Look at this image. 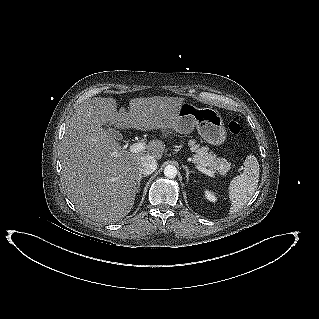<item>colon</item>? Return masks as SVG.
Here are the masks:
<instances>
[{"mask_svg": "<svg viewBox=\"0 0 319 319\" xmlns=\"http://www.w3.org/2000/svg\"><path fill=\"white\" fill-rule=\"evenodd\" d=\"M228 129L232 134H239L242 129V123L240 120H233L229 122Z\"/></svg>", "mask_w": 319, "mask_h": 319, "instance_id": "1", "label": "colon"}]
</instances>
